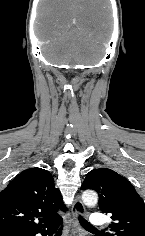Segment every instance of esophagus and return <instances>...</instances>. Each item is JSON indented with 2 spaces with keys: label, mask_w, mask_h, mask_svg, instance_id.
I'll list each match as a JSON object with an SVG mask.
<instances>
[{
  "label": "esophagus",
  "mask_w": 145,
  "mask_h": 236,
  "mask_svg": "<svg viewBox=\"0 0 145 236\" xmlns=\"http://www.w3.org/2000/svg\"><path fill=\"white\" fill-rule=\"evenodd\" d=\"M85 213V206L82 203L79 196L76 197L73 207H72V226H71V236H79L80 227L78 224V215Z\"/></svg>",
  "instance_id": "34e87169"
}]
</instances>
